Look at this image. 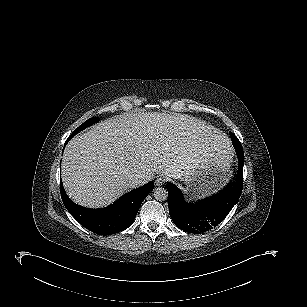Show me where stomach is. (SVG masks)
<instances>
[{
	"label": "stomach",
	"instance_id": "stomach-1",
	"mask_svg": "<svg viewBox=\"0 0 307 307\" xmlns=\"http://www.w3.org/2000/svg\"><path fill=\"white\" fill-rule=\"evenodd\" d=\"M230 175V165L221 158L204 162L184 177L185 191L192 198L210 195L219 190Z\"/></svg>",
	"mask_w": 307,
	"mask_h": 307
}]
</instances>
